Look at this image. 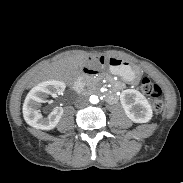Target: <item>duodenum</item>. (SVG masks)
Listing matches in <instances>:
<instances>
[{"label":"duodenum","mask_w":183,"mask_h":183,"mask_svg":"<svg viewBox=\"0 0 183 183\" xmlns=\"http://www.w3.org/2000/svg\"><path fill=\"white\" fill-rule=\"evenodd\" d=\"M82 75L77 77V81L74 83V88L75 89H80L81 88V84L85 82V78L88 76H95L98 74V71L96 69H94L92 66H87L84 68V70L81 73Z\"/></svg>","instance_id":"1"}]
</instances>
